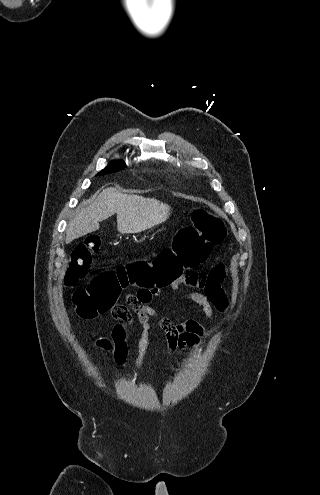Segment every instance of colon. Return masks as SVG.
I'll return each mask as SVG.
<instances>
[{
    "label": "colon",
    "instance_id": "5ec220e1",
    "mask_svg": "<svg viewBox=\"0 0 320 495\" xmlns=\"http://www.w3.org/2000/svg\"><path fill=\"white\" fill-rule=\"evenodd\" d=\"M193 225L178 230L172 246L162 250L152 261L136 260L128 265L102 270L87 287L76 290L71 295L77 313L84 318H93L107 311L118 310L123 288L136 284L140 289L158 292L160 287L171 284L181 277L184 270H193L207 260L215 246L226 237V229L221 219L212 212L197 208L192 213ZM101 239L89 236L77 245L64 276L67 286H75L84 279L92 264V255L99 250ZM139 303L149 300L140 290L135 295ZM98 345L104 349L111 347L110 340L101 338Z\"/></svg>",
    "mask_w": 320,
    "mask_h": 495
}]
</instances>
